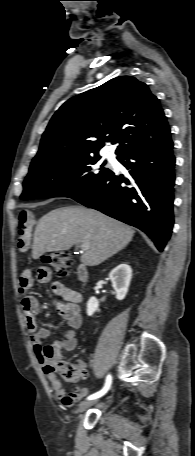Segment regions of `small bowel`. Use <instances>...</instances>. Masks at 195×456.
Wrapping results in <instances>:
<instances>
[{"instance_id": "1", "label": "small bowel", "mask_w": 195, "mask_h": 456, "mask_svg": "<svg viewBox=\"0 0 195 456\" xmlns=\"http://www.w3.org/2000/svg\"><path fill=\"white\" fill-rule=\"evenodd\" d=\"M34 225L33 217L22 212L18 219V248L25 252L29 248L32 229ZM36 281L45 284L51 281V270L45 266L40 267L35 274ZM33 284V275L29 270H25L19 277V291L26 293ZM51 291L57 298V308L60 316L66 321L69 329L63 338L55 340L50 345H43V341L50 335L48 328H38L36 316L39 313L40 305L36 297L27 295L21 301V307L25 317L26 328L30 334V342L33 346L34 353L40 364L46 365L53 361L59 360L62 352L71 351L77 345V330L82 325V316L79 304L82 301V295L78 291L68 288L61 280L51 282ZM47 350L50 352L48 353ZM78 366L86 373V365L83 361H78ZM47 378L51 384L56 398L66 407H72L77 401L87 395L88 390L85 387H78L73 392L67 393L61 382L54 373L46 372Z\"/></svg>"}]
</instances>
